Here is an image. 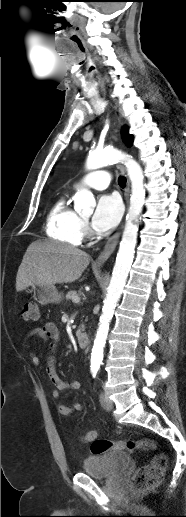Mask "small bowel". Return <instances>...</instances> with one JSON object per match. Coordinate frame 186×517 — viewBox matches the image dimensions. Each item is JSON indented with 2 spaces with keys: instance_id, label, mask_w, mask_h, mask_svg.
Returning <instances> with one entry per match:
<instances>
[{
  "instance_id": "1",
  "label": "small bowel",
  "mask_w": 186,
  "mask_h": 517,
  "mask_svg": "<svg viewBox=\"0 0 186 517\" xmlns=\"http://www.w3.org/2000/svg\"><path fill=\"white\" fill-rule=\"evenodd\" d=\"M36 339H44L45 341L49 342V348L52 351V355L48 359L47 364V374L51 381V383L54 386L53 390V397L55 399L60 398L61 393L67 390H78L81 388V382L79 380H72L71 382L63 380L58 372L56 367V358H55V350L57 348L59 339H60V332L58 327L53 322H47L41 327H37L32 329L26 337V343L29 344L31 341H34ZM31 359L34 363H38V358L31 353ZM83 408V405L79 401L73 402L71 405H64L59 404L58 405V411L63 416H70L75 412L81 411ZM97 437L96 431H89L82 437V442L89 443L90 437Z\"/></svg>"
}]
</instances>
